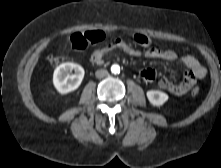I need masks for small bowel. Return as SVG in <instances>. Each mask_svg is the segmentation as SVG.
Segmentation results:
<instances>
[{
    "mask_svg": "<svg viewBox=\"0 0 221 168\" xmlns=\"http://www.w3.org/2000/svg\"><path fill=\"white\" fill-rule=\"evenodd\" d=\"M113 51H121L131 57H139L141 55L139 50L135 49L127 42L121 39H116L93 51L90 55V60L95 64H102L105 57ZM145 56L147 58L163 59L166 61H175L178 59V55L173 50H162L158 48H149L145 52ZM180 60L187 68L183 81L175 83L167 77H163L158 81L160 88L175 96L186 94L195 85L197 80L204 78L206 75V69L195 57L191 55H183L180 57ZM139 74L146 82H153L157 77L156 71L152 68H144Z\"/></svg>",
    "mask_w": 221,
    "mask_h": 168,
    "instance_id": "c3829d8e",
    "label": "small bowel"
}]
</instances>
